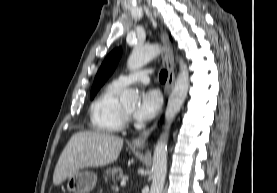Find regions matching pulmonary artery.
Instances as JSON below:
<instances>
[{"mask_svg":"<svg viewBox=\"0 0 277 193\" xmlns=\"http://www.w3.org/2000/svg\"><path fill=\"white\" fill-rule=\"evenodd\" d=\"M150 74L151 70H140L131 74H123L118 76L113 83L121 88L138 82L147 84L150 81Z\"/></svg>","mask_w":277,"mask_h":193,"instance_id":"e3ab8cb5","label":"pulmonary artery"}]
</instances>
